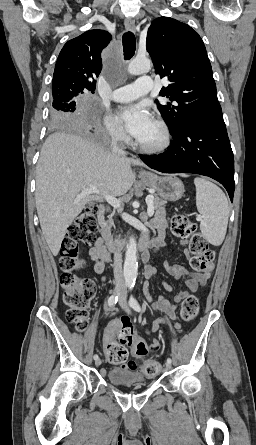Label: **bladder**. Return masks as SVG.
<instances>
[{
    "label": "bladder",
    "mask_w": 256,
    "mask_h": 445,
    "mask_svg": "<svg viewBox=\"0 0 256 445\" xmlns=\"http://www.w3.org/2000/svg\"><path fill=\"white\" fill-rule=\"evenodd\" d=\"M108 379L116 385H147L148 380L136 370L128 368H110L107 372Z\"/></svg>",
    "instance_id": "bladder-1"
}]
</instances>
